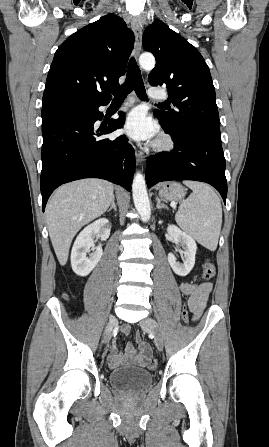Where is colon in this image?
Returning <instances> with one entry per match:
<instances>
[{
    "label": "colon",
    "mask_w": 269,
    "mask_h": 447,
    "mask_svg": "<svg viewBox=\"0 0 269 447\" xmlns=\"http://www.w3.org/2000/svg\"><path fill=\"white\" fill-rule=\"evenodd\" d=\"M216 274V266L214 265V263L212 261H206L204 263V265L202 266V277L204 280L206 281H210L215 277ZM182 305H186V302H182ZM188 308L184 307L183 309V316H182V320L181 323L183 325H186L188 323ZM143 353L147 356L151 355V349L146 347L143 349ZM150 369L154 370L156 368V362L154 360H150L147 364H146Z\"/></svg>",
    "instance_id": "5ec220e1"
}]
</instances>
